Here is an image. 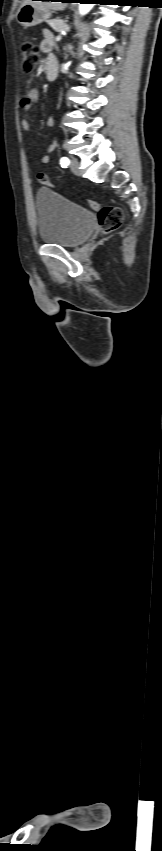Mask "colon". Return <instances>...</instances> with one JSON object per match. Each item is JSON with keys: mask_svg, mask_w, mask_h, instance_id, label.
Here are the masks:
<instances>
[{"mask_svg": "<svg viewBox=\"0 0 162 851\" xmlns=\"http://www.w3.org/2000/svg\"><path fill=\"white\" fill-rule=\"evenodd\" d=\"M22 66L25 72H32L38 61V50L34 41L25 37L21 42ZM38 181L43 185H49V179L46 174L39 173ZM89 206L98 211L99 224L104 233H109L118 229L123 220L124 213L117 206H103L95 199L88 200Z\"/></svg>", "mask_w": 162, "mask_h": 851, "instance_id": "5ec220e1", "label": "colon"}]
</instances>
